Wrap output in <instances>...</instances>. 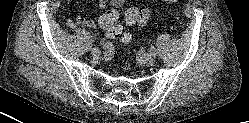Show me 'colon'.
Instances as JSON below:
<instances>
[{"mask_svg":"<svg viewBox=\"0 0 249 123\" xmlns=\"http://www.w3.org/2000/svg\"><path fill=\"white\" fill-rule=\"evenodd\" d=\"M165 3L174 4L179 0H163ZM175 19L179 20L180 13H175ZM150 18V11L142 6H132L125 13V21L130 25L145 27ZM99 25L104 29L106 34L121 43H127L130 40V35L123 31L118 24V15L114 11H107L99 19Z\"/></svg>","mask_w":249,"mask_h":123,"instance_id":"colon-1","label":"colon"}]
</instances>
